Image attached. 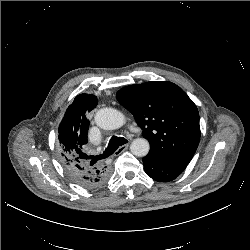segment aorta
I'll use <instances>...</instances> for the list:
<instances>
[{
	"label": "aorta",
	"instance_id": "762f6f07",
	"mask_svg": "<svg viewBox=\"0 0 250 250\" xmlns=\"http://www.w3.org/2000/svg\"><path fill=\"white\" fill-rule=\"evenodd\" d=\"M95 123L102 129L114 130L125 124V117L120 111L113 108H102L95 115ZM149 149V142L144 138L134 139L130 145L131 153L138 157L146 156Z\"/></svg>",
	"mask_w": 250,
	"mask_h": 250
}]
</instances>
